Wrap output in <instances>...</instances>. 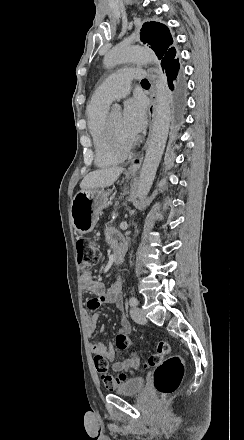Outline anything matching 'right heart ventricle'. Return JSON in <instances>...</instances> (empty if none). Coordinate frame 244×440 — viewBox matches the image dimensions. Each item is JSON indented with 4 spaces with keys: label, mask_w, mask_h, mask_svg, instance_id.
<instances>
[{
    "label": "right heart ventricle",
    "mask_w": 244,
    "mask_h": 440,
    "mask_svg": "<svg viewBox=\"0 0 244 440\" xmlns=\"http://www.w3.org/2000/svg\"><path fill=\"white\" fill-rule=\"evenodd\" d=\"M108 108V103L93 102L92 100L86 108L88 129L96 149L95 161L100 168L117 166L125 158L122 147H108L106 145L108 141L104 139L106 137L104 134L109 131L103 127Z\"/></svg>",
    "instance_id": "obj_1"
}]
</instances>
